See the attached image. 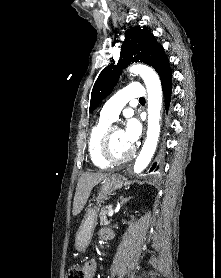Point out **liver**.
Here are the masks:
<instances>
[{
    "label": "liver",
    "mask_w": 221,
    "mask_h": 278,
    "mask_svg": "<svg viewBox=\"0 0 221 278\" xmlns=\"http://www.w3.org/2000/svg\"><path fill=\"white\" fill-rule=\"evenodd\" d=\"M109 174L86 172L78 180L73 202V215H78L84 208L91 190L95 185L107 178Z\"/></svg>",
    "instance_id": "6515ba94"
}]
</instances>
